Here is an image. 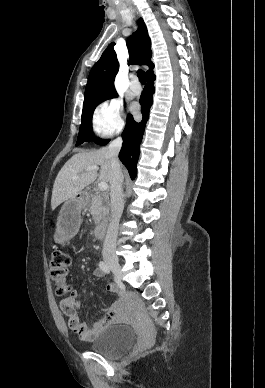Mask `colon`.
<instances>
[{"mask_svg":"<svg viewBox=\"0 0 265 388\" xmlns=\"http://www.w3.org/2000/svg\"><path fill=\"white\" fill-rule=\"evenodd\" d=\"M71 256L63 251H54L49 259L50 278L56 286V294L68 296L72 289L67 283L68 269L71 265Z\"/></svg>","mask_w":265,"mask_h":388,"instance_id":"5ec220e1","label":"colon"}]
</instances>
